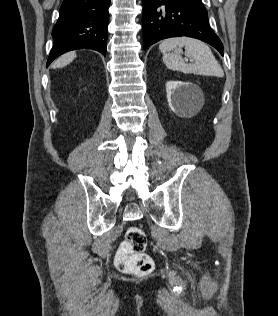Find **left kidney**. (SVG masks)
Instances as JSON below:
<instances>
[{
  "mask_svg": "<svg viewBox=\"0 0 278 316\" xmlns=\"http://www.w3.org/2000/svg\"><path fill=\"white\" fill-rule=\"evenodd\" d=\"M166 93L170 109L178 114L198 108L203 101L201 89L190 82L168 81Z\"/></svg>",
  "mask_w": 278,
  "mask_h": 316,
  "instance_id": "5707ae66",
  "label": "left kidney"
}]
</instances>
